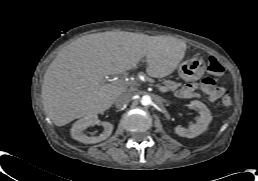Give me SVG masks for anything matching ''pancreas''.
<instances>
[{"label":"pancreas","instance_id":"1","mask_svg":"<svg viewBox=\"0 0 258 181\" xmlns=\"http://www.w3.org/2000/svg\"><path fill=\"white\" fill-rule=\"evenodd\" d=\"M163 84L165 85L164 87L166 88L167 91H174L176 90L178 87H180L179 83H176L174 81L171 80H165L163 82Z\"/></svg>","mask_w":258,"mask_h":181}]
</instances>
